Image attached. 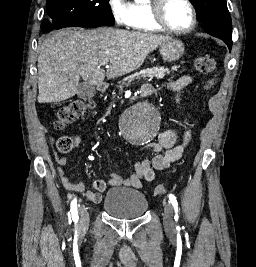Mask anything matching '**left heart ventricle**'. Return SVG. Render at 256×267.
<instances>
[{"label": "left heart ventricle", "mask_w": 256, "mask_h": 267, "mask_svg": "<svg viewBox=\"0 0 256 267\" xmlns=\"http://www.w3.org/2000/svg\"><path fill=\"white\" fill-rule=\"evenodd\" d=\"M163 16L166 22L176 30H185L191 25L192 16L189 7L179 1L170 0L165 4ZM144 28L140 30H149L150 25L144 22Z\"/></svg>", "instance_id": "1"}]
</instances>
